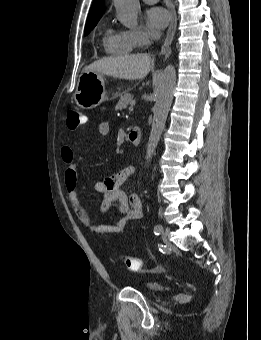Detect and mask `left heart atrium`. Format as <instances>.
<instances>
[{
	"instance_id": "39dd6f15",
	"label": "left heart atrium",
	"mask_w": 261,
	"mask_h": 340,
	"mask_svg": "<svg viewBox=\"0 0 261 340\" xmlns=\"http://www.w3.org/2000/svg\"><path fill=\"white\" fill-rule=\"evenodd\" d=\"M169 20L168 12L161 7H153L147 12L146 23L153 36L158 35L167 26Z\"/></svg>"
}]
</instances>
